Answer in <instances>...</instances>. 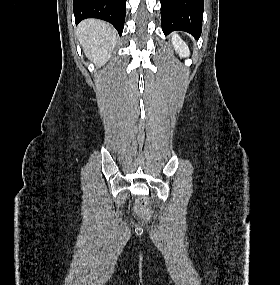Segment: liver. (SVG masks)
I'll list each match as a JSON object with an SVG mask.
<instances>
[{
    "label": "liver",
    "mask_w": 280,
    "mask_h": 285,
    "mask_svg": "<svg viewBox=\"0 0 280 285\" xmlns=\"http://www.w3.org/2000/svg\"><path fill=\"white\" fill-rule=\"evenodd\" d=\"M77 31L86 57L99 67L105 65L117 42L116 30L104 21L87 19L79 24Z\"/></svg>",
    "instance_id": "1"
}]
</instances>
